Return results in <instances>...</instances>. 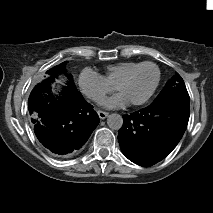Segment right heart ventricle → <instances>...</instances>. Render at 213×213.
<instances>
[{
    "mask_svg": "<svg viewBox=\"0 0 213 213\" xmlns=\"http://www.w3.org/2000/svg\"><path fill=\"white\" fill-rule=\"evenodd\" d=\"M138 64L140 63L132 61H123L116 64L108 65L105 68L102 77L106 80L108 84L114 87L122 76H124L130 69H132Z\"/></svg>",
    "mask_w": 213,
    "mask_h": 213,
    "instance_id": "e07e8e85",
    "label": "right heart ventricle"
}]
</instances>
